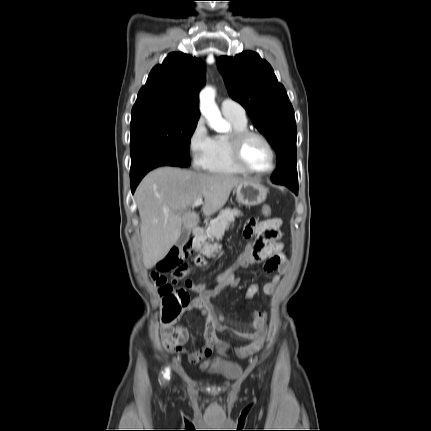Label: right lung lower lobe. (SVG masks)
<instances>
[{
  "label": "right lung lower lobe",
  "instance_id": "right-lung-lower-lobe-1",
  "mask_svg": "<svg viewBox=\"0 0 431 431\" xmlns=\"http://www.w3.org/2000/svg\"><path fill=\"white\" fill-rule=\"evenodd\" d=\"M166 165L188 167L176 156L160 150L150 151L146 153L143 157L132 161L130 172L132 193H134L136 186L147 172L156 167Z\"/></svg>",
  "mask_w": 431,
  "mask_h": 431
}]
</instances>
